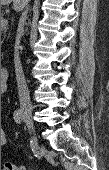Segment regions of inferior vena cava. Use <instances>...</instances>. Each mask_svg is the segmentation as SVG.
<instances>
[{
  "instance_id": "obj_1",
  "label": "inferior vena cava",
  "mask_w": 109,
  "mask_h": 170,
  "mask_svg": "<svg viewBox=\"0 0 109 170\" xmlns=\"http://www.w3.org/2000/svg\"><path fill=\"white\" fill-rule=\"evenodd\" d=\"M29 1L30 0H28V3ZM28 3L25 5V7L28 5ZM27 12H28V9L26 7V10L22 13V16L18 24V34L16 37L15 48H14V65H15L20 104L22 107L30 109L31 102H30L29 91H28V87L25 81V77H24V73H23V69L21 65V60L19 56L20 37L24 29Z\"/></svg>"
}]
</instances>
